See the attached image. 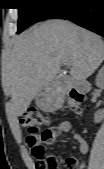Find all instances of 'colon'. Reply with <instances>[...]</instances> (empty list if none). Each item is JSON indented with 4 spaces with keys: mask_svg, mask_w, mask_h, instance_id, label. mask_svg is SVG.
Masks as SVG:
<instances>
[{
    "mask_svg": "<svg viewBox=\"0 0 104 169\" xmlns=\"http://www.w3.org/2000/svg\"><path fill=\"white\" fill-rule=\"evenodd\" d=\"M82 101V94L72 89L68 93V105L76 109ZM47 119L36 109L25 112L20 118V125L25 130V142L30 148L35 159L36 169H59V160L55 154L50 152L44 145L45 138H53L57 133L56 129L50 128L39 132L42 124Z\"/></svg>",
    "mask_w": 104,
    "mask_h": 169,
    "instance_id": "1",
    "label": "colon"
}]
</instances>
